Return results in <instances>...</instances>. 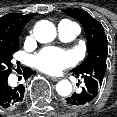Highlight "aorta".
Instances as JSON below:
<instances>
[{
  "label": "aorta",
  "instance_id": "obj_1",
  "mask_svg": "<svg viewBox=\"0 0 117 117\" xmlns=\"http://www.w3.org/2000/svg\"><path fill=\"white\" fill-rule=\"evenodd\" d=\"M55 25L48 20H41L34 27V37L40 43H48L56 38ZM56 91L60 96L66 97L72 92V84L68 80H61L56 85Z\"/></svg>",
  "mask_w": 117,
  "mask_h": 117
}]
</instances>
